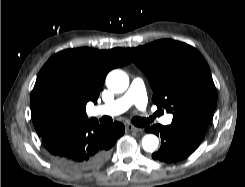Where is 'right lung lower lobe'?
Masks as SVG:
<instances>
[{
    "label": "right lung lower lobe",
    "mask_w": 245,
    "mask_h": 187,
    "mask_svg": "<svg viewBox=\"0 0 245 187\" xmlns=\"http://www.w3.org/2000/svg\"><path fill=\"white\" fill-rule=\"evenodd\" d=\"M120 122L103 127L95 119L56 126L41 136L53 158L67 169L86 172L101 167L124 134Z\"/></svg>",
    "instance_id": "obj_1"
}]
</instances>
